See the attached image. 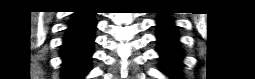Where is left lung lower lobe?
Wrapping results in <instances>:
<instances>
[{
  "label": "left lung lower lobe",
  "instance_id": "0a47b994",
  "mask_svg": "<svg viewBox=\"0 0 255 79\" xmlns=\"http://www.w3.org/2000/svg\"><path fill=\"white\" fill-rule=\"evenodd\" d=\"M157 22L158 52L161 56L162 68L167 75L176 76L183 56L178 46L177 32L171 17L163 15Z\"/></svg>",
  "mask_w": 255,
  "mask_h": 79
}]
</instances>
